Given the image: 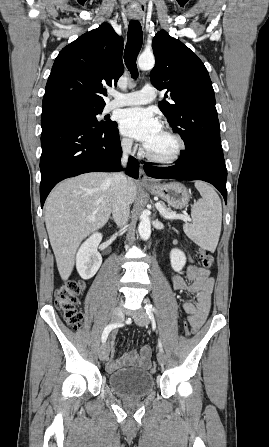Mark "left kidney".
Segmentation results:
<instances>
[{
  "instance_id": "obj_1",
  "label": "left kidney",
  "mask_w": 269,
  "mask_h": 447,
  "mask_svg": "<svg viewBox=\"0 0 269 447\" xmlns=\"http://www.w3.org/2000/svg\"><path fill=\"white\" fill-rule=\"evenodd\" d=\"M170 261L174 271H181L186 263V257L184 251L173 247L170 251Z\"/></svg>"
}]
</instances>
